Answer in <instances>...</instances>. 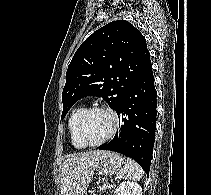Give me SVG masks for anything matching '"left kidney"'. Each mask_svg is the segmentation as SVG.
<instances>
[{"label": "left kidney", "instance_id": "obj_1", "mask_svg": "<svg viewBox=\"0 0 211 195\" xmlns=\"http://www.w3.org/2000/svg\"><path fill=\"white\" fill-rule=\"evenodd\" d=\"M114 195H142V188L135 182H122L115 190Z\"/></svg>", "mask_w": 211, "mask_h": 195}]
</instances>
